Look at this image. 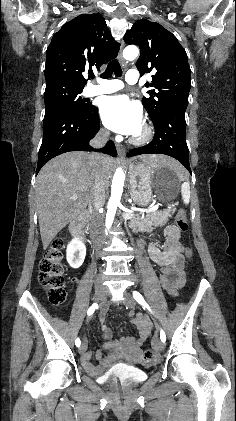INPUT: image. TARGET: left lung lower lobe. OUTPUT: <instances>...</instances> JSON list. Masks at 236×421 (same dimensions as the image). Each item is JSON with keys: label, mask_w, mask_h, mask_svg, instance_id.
Masks as SVG:
<instances>
[{"label": "left lung lower lobe", "mask_w": 236, "mask_h": 421, "mask_svg": "<svg viewBox=\"0 0 236 421\" xmlns=\"http://www.w3.org/2000/svg\"><path fill=\"white\" fill-rule=\"evenodd\" d=\"M186 107L171 106L153 121L155 135L146 146L130 150L128 157L141 154H165L180 161L191 173L186 143Z\"/></svg>", "instance_id": "0a47b994"}]
</instances>
